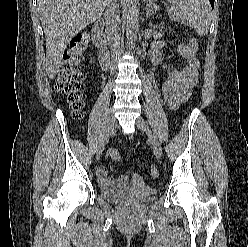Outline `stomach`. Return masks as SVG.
<instances>
[{
    "label": "stomach",
    "instance_id": "obj_1",
    "mask_svg": "<svg viewBox=\"0 0 248 247\" xmlns=\"http://www.w3.org/2000/svg\"><path fill=\"white\" fill-rule=\"evenodd\" d=\"M145 1L148 2V3L153 4V3H156L158 0H145Z\"/></svg>",
    "mask_w": 248,
    "mask_h": 247
}]
</instances>
